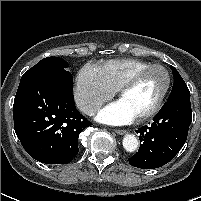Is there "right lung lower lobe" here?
<instances>
[{"label": "right lung lower lobe", "mask_w": 201, "mask_h": 201, "mask_svg": "<svg viewBox=\"0 0 201 201\" xmlns=\"http://www.w3.org/2000/svg\"><path fill=\"white\" fill-rule=\"evenodd\" d=\"M73 86L46 76L21 79L13 104L14 129L25 151L45 164H67L91 123L75 107Z\"/></svg>", "instance_id": "right-lung-lower-lobe-1"}]
</instances>
